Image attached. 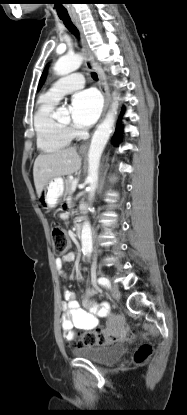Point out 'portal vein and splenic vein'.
<instances>
[{
    "label": "portal vein and splenic vein",
    "instance_id": "18ae733b",
    "mask_svg": "<svg viewBox=\"0 0 187 415\" xmlns=\"http://www.w3.org/2000/svg\"><path fill=\"white\" fill-rule=\"evenodd\" d=\"M78 182H79V179H74L73 180L72 187H71L72 191H75L76 190V187H77Z\"/></svg>",
    "mask_w": 187,
    "mask_h": 415
}]
</instances>
